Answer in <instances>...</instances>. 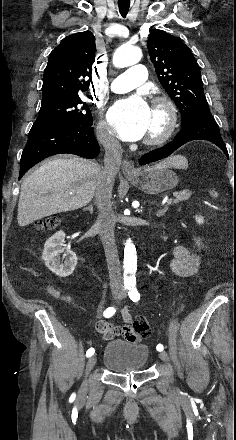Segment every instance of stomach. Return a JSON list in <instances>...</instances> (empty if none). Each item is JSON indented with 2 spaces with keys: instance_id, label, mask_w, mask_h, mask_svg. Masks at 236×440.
<instances>
[{
  "instance_id": "obj_1",
  "label": "stomach",
  "mask_w": 236,
  "mask_h": 440,
  "mask_svg": "<svg viewBox=\"0 0 236 440\" xmlns=\"http://www.w3.org/2000/svg\"><path fill=\"white\" fill-rule=\"evenodd\" d=\"M187 167V161L184 166ZM127 179L140 190L148 194H158L173 189L178 183V176L169 167L155 166L139 170Z\"/></svg>"
}]
</instances>
